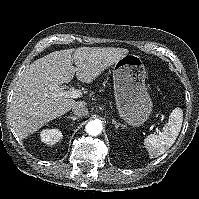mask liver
Here are the masks:
<instances>
[{"instance_id":"liver-1","label":"liver","mask_w":199,"mask_h":199,"mask_svg":"<svg viewBox=\"0 0 199 199\" xmlns=\"http://www.w3.org/2000/svg\"><path fill=\"white\" fill-rule=\"evenodd\" d=\"M128 52L124 48L80 47L35 60L17 81L11 100L12 127L19 138L38 131L77 103L62 95L59 85L69 83L75 73L79 81L89 84Z\"/></svg>"}]
</instances>
